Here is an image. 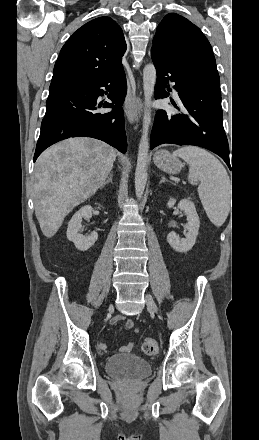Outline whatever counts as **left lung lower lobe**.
<instances>
[{"label":"left lung lower lobe","mask_w":259,"mask_h":440,"mask_svg":"<svg viewBox=\"0 0 259 440\" xmlns=\"http://www.w3.org/2000/svg\"><path fill=\"white\" fill-rule=\"evenodd\" d=\"M151 56L157 72L155 98L167 97L169 81L175 82L174 88L187 113L167 114L159 110L151 132L150 148L164 143L200 146L219 155L230 168L219 78L203 71H182L154 52Z\"/></svg>","instance_id":"0a47b994"}]
</instances>
